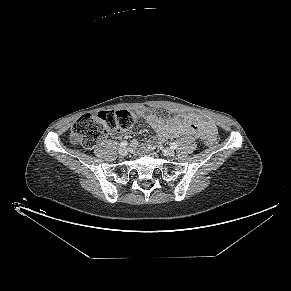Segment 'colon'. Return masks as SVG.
<instances>
[{"mask_svg": "<svg viewBox=\"0 0 291 291\" xmlns=\"http://www.w3.org/2000/svg\"><path fill=\"white\" fill-rule=\"evenodd\" d=\"M135 122V115L128 110L102 111L96 115L85 114L75 121L71 130L73 142L85 149H91L95 144L116 129H128ZM207 144L214 145L218 134L212 131L204 136Z\"/></svg>", "mask_w": 291, "mask_h": 291, "instance_id": "colon-1", "label": "colon"}]
</instances>
